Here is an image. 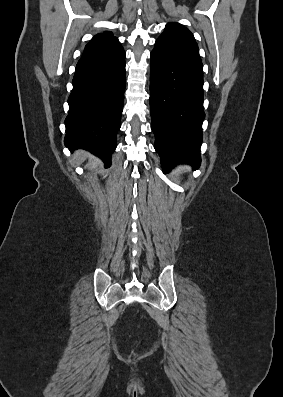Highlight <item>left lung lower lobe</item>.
Instances as JSON below:
<instances>
[{
	"mask_svg": "<svg viewBox=\"0 0 283 397\" xmlns=\"http://www.w3.org/2000/svg\"><path fill=\"white\" fill-rule=\"evenodd\" d=\"M151 129L164 172L201 163L203 71L155 43L150 55Z\"/></svg>",
	"mask_w": 283,
	"mask_h": 397,
	"instance_id": "left-lung-lower-lobe-1",
	"label": "left lung lower lobe"
}]
</instances>
